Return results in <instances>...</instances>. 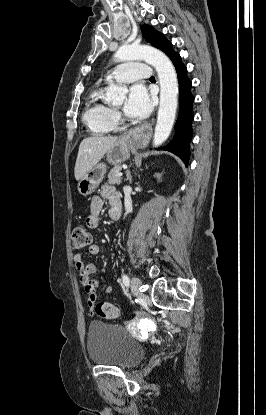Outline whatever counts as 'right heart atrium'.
<instances>
[{
	"label": "right heart atrium",
	"mask_w": 266,
	"mask_h": 415,
	"mask_svg": "<svg viewBox=\"0 0 266 415\" xmlns=\"http://www.w3.org/2000/svg\"><path fill=\"white\" fill-rule=\"evenodd\" d=\"M114 117H115V121L119 119V115L117 113H115Z\"/></svg>",
	"instance_id": "d8ad5b80"
}]
</instances>
